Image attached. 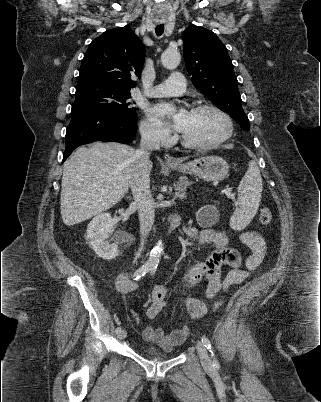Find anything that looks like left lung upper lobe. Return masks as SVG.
Here are the masks:
<instances>
[{
	"mask_svg": "<svg viewBox=\"0 0 321 402\" xmlns=\"http://www.w3.org/2000/svg\"><path fill=\"white\" fill-rule=\"evenodd\" d=\"M183 55L195 87L240 126L250 129L227 48L212 31L191 25L183 32Z\"/></svg>",
	"mask_w": 321,
	"mask_h": 402,
	"instance_id": "1",
	"label": "left lung upper lobe"
}]
</instances>
